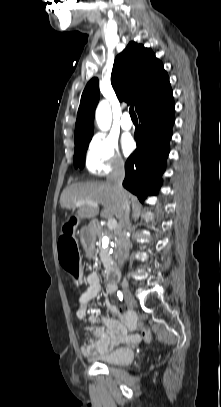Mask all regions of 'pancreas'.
<instances>
[{"label":"pancreas","instance_id":"1","mask_svg":"<svg viewBox=\"0 0 221 407\" xmlns=\"http://www.w3.org/2000/svg\"><path fill=\"white\" fill-rule=\"evenodd\" d=\"M103 236H107L108 238L113 237V233L110 230H107L105 233H100V238ZM99 251H100V258L101 261L103 262L104 266L106 269L110 268L113 262L112 256L109 254V248L108 249H102L99 246Z\"/></svg>","mask_w":221,"mask_h":407}]
</instances>
